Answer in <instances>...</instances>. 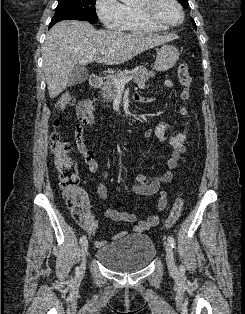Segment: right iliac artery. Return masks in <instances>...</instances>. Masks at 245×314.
<instances>
[{
  "mask_svg": "<svg viewBox=\"0 0 245 314\" xmlns=\"http://www.w3.org/2000/svg\"><path fill=\"white\" fill-rule=\"evenodd\" d=\"M86 240V235H82L80 237V243H83Z\"/></svg>",
  "mask_w": 245,
  "mask_h": 314,
  "instance_id": "82829eb1",
  "label": "right iliac artery"
}]
</instances>
